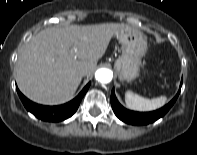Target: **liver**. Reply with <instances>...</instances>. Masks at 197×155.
I'll list each match as a JSON object with an SVG mask.
<instances>
[{"label": "liver", "instance_id": "obj_1", "mask_svg": "<svg viewBox=\"0 0 197 155\" xmlns=\"http://www.w3.org/2000/svg\"><path fill=\"white\" fill-rule=\"evenodd\" d=\"M124 24L71 25L46 28L21 50L16 79L20 91L44 105L67 102L76 92L86 70L90 76L111 38Z\"/></svg>", "mask_w": 197, "mask_h": 155}]
</instances>
